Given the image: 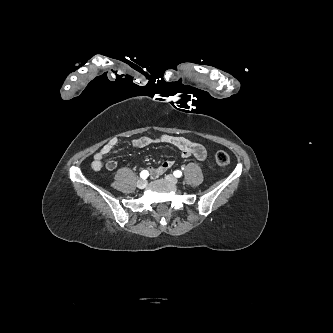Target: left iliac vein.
<instances>
[{
    "instance_id": "1",
    "label": "left iliac vein",
    "mask_w": 333,
    "mask_h": 333,
    "mask_svg": "<svg viewBox=\"0 0 333 333\" xmlns=\"http://www.w3.org/2000/svg\"><path fill=\"white\" fill-rule=\"evenodd\" d=\"M165 179L172 184L178 183V179L176 177H174L173 175H166Z\"/></svg>"
}]
</instances>
